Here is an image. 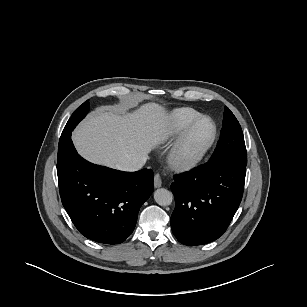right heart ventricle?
Segmentation results:
<instances>
[{
	"label": "right heart ventricle",
	"mask_w": 307,
	"mask_h": 307,
	"mask_svg": "<svg viewBox=\"0 0 307 307\" xmlns=\"http://www.w3.org/2000/svg\"><path fill=\"white\" fill-rule=\"evenodd\" d=\"M199 116H201L199 112L188 107L174 110L168 116L167 125L163 136L164 141L170 142L174 140L193 120Z\"/></svg>",
	"instance_id": "right-heart-ventricle-1"
}]
</instances>
